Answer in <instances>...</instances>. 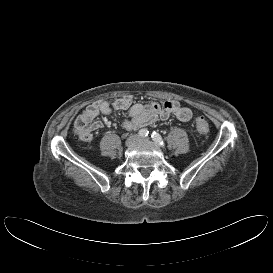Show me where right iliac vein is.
Returning <instances> with one entry per match:
<instances>
[{"label":"right iliac vein","mask_w":273,"mask_h":273,"mask_svg":"<svg viewBox=\"0 0 273 273\" xmlns=\"http://www.w3.org/2000/svg\"><path fill=\"white\" fill-rule=\"evenodd\" d=\"M138 141V136L136 135H131L127 138L126 142H125V145L127 147H130L132 145H134L136 142Z\"/></svg>","instance_id":"63e3f726"}]
</instances>
